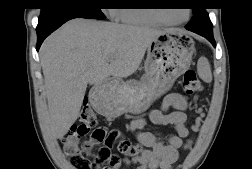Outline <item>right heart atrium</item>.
Instances as JSON below:
<instances>
[{"label":"right heart atrium","instance_id":"right-heart-atrium-1","mask_svg":"<svg viewBox=\"0 0 252 169\" xmlns=\"http://www.w3.org/2000/svg\"><path fill=\"white\" fill-rule=\"evenodd\" d=\"M116 10L117 9H107V14L111 19H116L117 15H116Z\"/></svg>","mask_w":252,"mask_h":169}]
</instances>
